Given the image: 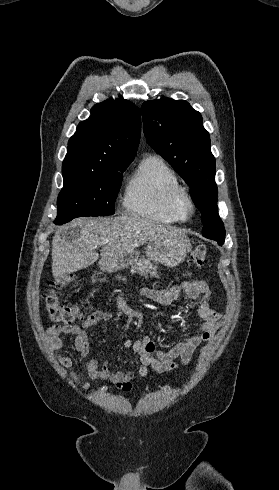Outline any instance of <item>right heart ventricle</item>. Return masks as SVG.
<instances>
[{
    "instance_id": "1",
    "label": "right heart ventricle",
    "mask_w": 279,
    "mask_h": 490,
    "mask_svg": "<svg viewBox=\"0 0 279 490\" xmlns=\"http://www.w3.org/2000/svg\"><path fill=\"white\" fill-rule=\"evenodd\" d=\"M181 181L170 165L161 157L143 158L127 187V211L140 219L162 225L180 222L169 207L171 192Z\"/></svg>"
}]
</instances>
